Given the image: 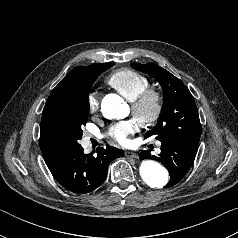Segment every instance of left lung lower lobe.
<instances>
[{
	"label": "left lung lower lobe",
	"mask_w": 238,
	"mask_h": 238,
	"mask_svg": "<svg viewBox=\"0 0 238 238\" xmlns=\"http://www.w3.org/2000/svg\"><path fill=\"white\" fill-rule=\"evenodd\" d=\"M199 147L198 139L172 138L161 141L159 156L150 155L148 151L139 154L140 159L152 158L164 164L170 173V181L165 188L177 184L189 171Z\"/></svg>",
	"instance_id": "obj_1"
}]
</instances>
